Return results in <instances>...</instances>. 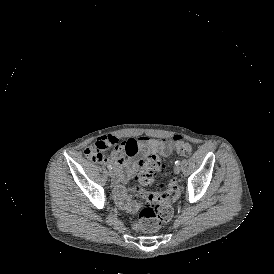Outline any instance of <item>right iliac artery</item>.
Segmentation results:
<instances>
[{
	"instance_id": "1",
	"label": "right iliac artery",
	"mask_w": 274,
	"mask_h": 274,
	"mask_svg": "<svg viewBox=\"0 0 274 274\" xmlns=\"http://www.w3.org/2000/svg\"><path fill=\"white\" fill-rule=\"evenodd\" d=\"M107 168H108L109 170H112V169H113V167H112L111 165H108Z\"/></svg>"
}]
</instances>
